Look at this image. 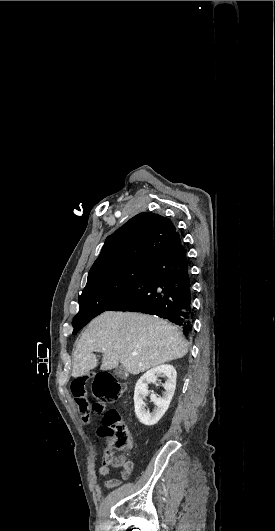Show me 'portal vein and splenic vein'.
<instances>
[{"label":"portal vein and splenic vein","instance_id":"obj_1","mask_svg":"<svg viewBox=\"0 0 275 531\" xmlns=\"http://www.w3.org/2000/svg\"><path fill=\"white\" fill-rule=\"evenodd\" d=\"M102 351H106V349H102ZM137 353H132V357H136Z\"/></svg>","mask_w":275,"mask_h":531}]
</instances>
